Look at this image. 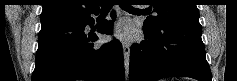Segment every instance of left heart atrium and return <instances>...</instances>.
<instances>
[{
    "mask_svg": "<svg viewBox=\"0 0 237 81\" xmlns=\"http://www.w3.org/2000/svg\"><path fill=\"white\" fill-rule=\"evenodd\" d=\"M132 33L133 27L126 20L120 21L115 27V34L119 37L128 38L132 35Z\"/></svg>",
    "mask_w": 237,
    "mask_h": 81,
    "instance_id": "left-heart-atrium-1",
    "label": "left heart atrium"
}]
</instances>
